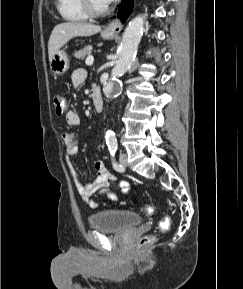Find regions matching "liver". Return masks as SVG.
<instances>
[{
	"label": "liver",
	"mask_w": 243,
	"mask_h": 289,
	"mask_svg": "<svg viewBox=\"0 0 243 289\" xmlns=\"http://www.w3.org/2000/svg\"><path fill=\"white\" fill-rule=\"evenodd\" d=\"M100 31V26L90 23L64 22L56 25L48 42L49 61H51L55 53L72 38L92 36Z\"/></svg>",
	"instance_id": "6515ba94"
}]
</instances>
